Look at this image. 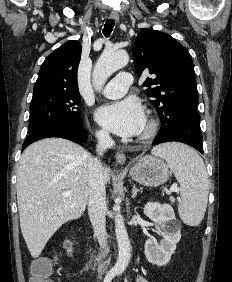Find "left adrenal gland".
<instances>
[{
  "mask_svg": "<svg viewBox=\"0 0 232 282\" xmlns=\"http://www.w3.org/2000/svg\"><path fill=\"white\" fill-rule=\"evenodd\" d=\"M138 192H142V189H137L136 185H133L132 198H135Z\"/></svg>",
  "mask_w": 232,
  "mask_h": 282,
  "instance_id": "obj_1",
  "label": "left adrenal gland"
}]
</instances>
